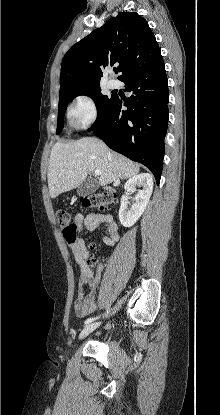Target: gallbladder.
I'll use <instances>...</instances> for the list:
<instances>
[{"label":"gallbladder","instance_id":"gallbladder-1","mask_svg":"<svg viewBox=\"0 0 220 415\" xmlns=\"http://www.w3.org/2000/svg\"><path fill=\"white\" fill-rule=\"evenodd\" d=\"M97 188H98L97 183L94 180H92L90 178H87L78 187L77 194L79 196H87V195H90V194L94 193L97 190Z\"/></svg>","mask_w":220,"mask_h":415}]
</instances>
